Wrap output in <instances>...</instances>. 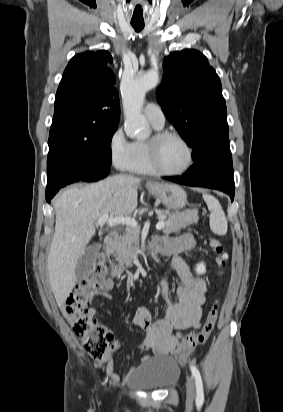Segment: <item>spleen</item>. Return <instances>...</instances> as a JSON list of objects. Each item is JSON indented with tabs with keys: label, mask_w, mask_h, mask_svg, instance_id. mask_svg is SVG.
<instances>
[{
	"label": "spleen",
	"mask_w": 283,
	"mask_h": 412,
	"mask_svg": "<svg viewBox=\"0 0 283 412\" xmlns=\"http://www.w3.org/2000/svg\"><path fill=\"white\" fill-rule=\"evenodd\" d=\"M210 211V229L217 235H225L228 230L227 219L219 201L212 195L203 194Z\"/></svg>",
	"instance_id": "obj_1"
}]
</instances>
